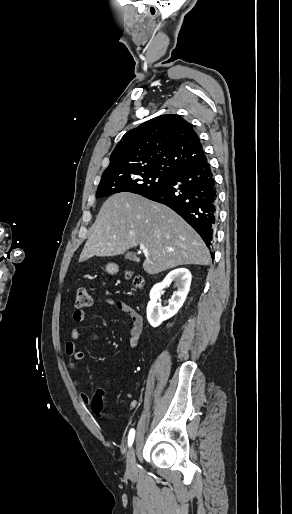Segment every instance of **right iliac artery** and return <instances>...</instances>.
<instances>
[{
  "label": "right iliac artery",
  "mask_w": 292,
  "mask_h": 514,
  "mask_svg": "<svg viewBox=\"0 0 292 514\" xmlns=\"http://www.w3.org/2000/svg\"><path fill=\"white\" fill-rule=\"evenodd\" d=\"M134 437H135V430L134 429H131L129 431V434H128V446L130 447L134 441Z\"/></svg>",
  "instance_id": "obj_1"
}]
</instances>
